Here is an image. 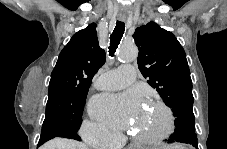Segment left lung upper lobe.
Returning a JSON list of instances; mask_svg holds the SVG:
<instances>
[{
    "label": "left lung upper lobe",
    "mask_w": 227,
    "mask_h": 149,
    "mask_svg": "<svg viewBox=\"0 0 227 149\" xmlns=\"http://www.w3.org/2000/svg\"><path fill=\"white\" fill-rule=\"evenodd\" d=\"M138 67L175 116V132L195 131L192 81L186 54L176 37L155 22L135 30Z\"/></svg>",
    "instance_id": "obj_1"
}]
</instances>
